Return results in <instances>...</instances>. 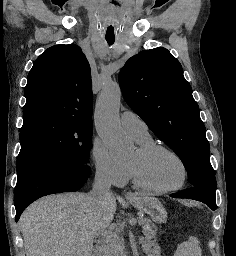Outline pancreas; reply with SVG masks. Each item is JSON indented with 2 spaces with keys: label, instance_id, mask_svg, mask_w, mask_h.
Masks as SVG:
<instances>
[{
  "label": "pancreas",
  "instance_id": "obj_1",
  "mask_svg": "<svg viewBox=\"0 0 236 256\" xmlns=\"http://www.w3.org/2000/svg\"><path fill=\"white\" fill-rule=\"evenodd\" d=\"M116 224H123V219H116ZM141 227H149V230H143L145 238L137 239V242L149 243L152 238H155L157 234V226L152 222H141ZM103 237L99 238L100 242H103V253L104 254H116V248L122 246V240L118 234H125L123 226H106Z\"/></svg>",
  "mask_w": 236,
  "mask_h": 256
}]
</instances>
